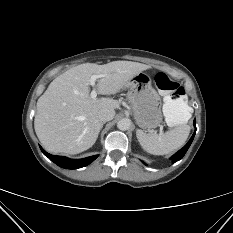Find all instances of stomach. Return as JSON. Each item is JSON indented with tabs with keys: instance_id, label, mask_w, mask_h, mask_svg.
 Segmentation results:
<instances>
[{
	"instance_id": "0dacf381",
	"label": "stomach",
	"mask_w": 233,
	"mask_h": 233,
	"mask_svg": "<svg viewBox=\"0 0 233 233\" xmlns=\"http://www.w3.org/2000/svg\"><path fill=\"white\" fill-rule=\"evenodd\" d=\"M128 99L136 124L142 129H153L162 123L161 99L152 87L151 78L139 72L126 82Z\"/></svg>"
}]
</instances>
